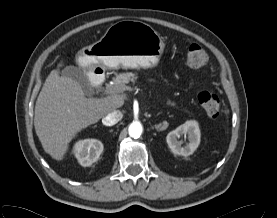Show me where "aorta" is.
<instances>
[{"instance_id": "obj_1", "label": "aorta", "mask_w": 277, "mask_h": 218, "mask_svg": "<svg viewBox=\"0 0 277 218\" xmlns=\"http://www.w3.org/2000/svg\"><path fill=\"white\" fill-rule=\"evenodd\" d=\"M142 125L139 122H133L128 128L129 135L133 138H139L142 134Z\"/></svg>"}]
</instances>
